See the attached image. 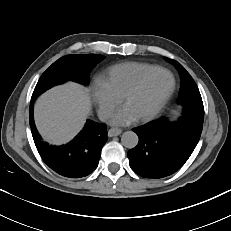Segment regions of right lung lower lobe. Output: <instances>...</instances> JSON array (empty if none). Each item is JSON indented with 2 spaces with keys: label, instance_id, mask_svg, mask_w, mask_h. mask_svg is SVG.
<instances>
[{
  "label": "right lung lower lobe",
  "instance_id": "98d812e1",
  "mask_svg": "<svg viewBox=\"0 0 231 231\" xmlns=\"http://www.w3.org/2000/svg\"><path fill=\"white\" fill-rule=\"evenodd\" d=\"M33 103L29 108L30 127L36 148L43 161L56 173L68 178H81L93 172L107 141L106 125L87 120L83 130L68 144L51 146L42 141L33 119Z\"/></svg>",
  "mask_w": 231,
  "mask_h": 231
}]
</instances>
